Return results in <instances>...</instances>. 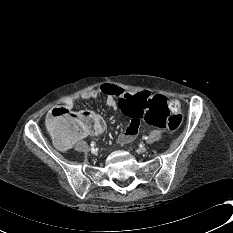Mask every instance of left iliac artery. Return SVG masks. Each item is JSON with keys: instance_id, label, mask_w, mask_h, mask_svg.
<instances>
[{"instance_id": "obj_1", "label": "left iliac artery", "mask_w": 233, "mask_h": 233, "mask_svg": "<svg viewBox=\"0 0 233 233\" xmlns=\"http://www.w3.org/2000/svg\"><path fill=\"white\" fill-rule=\"evenodd\" d=\"M143 139H144V140H147V139H148V137H147V136H143Z\"/></svg>"}]
</instances>
